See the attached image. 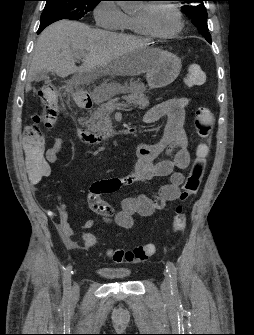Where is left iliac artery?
<instances>
[{
  "mask_svg": "<svg viewBox=\"0 0 254 335\" xmlns=\"http://www.w3.org/2000/svg\"><path fill=\"white\" fill-rule=\"evenodd\" d=\"M166 269L171 280V294L174 297H178L179 292L177 287V268L172 262L168 261L166 264Z\"/></svg>",
  "mask_w": 254,
  "mask_h": 335,
  "instance_id": "1",
  "label": "left iliac artery"
}]
</instances>
